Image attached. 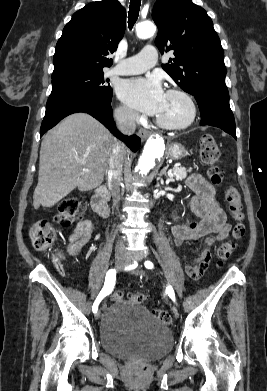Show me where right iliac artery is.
<instances>
[{
  "instance_id": "right-iliac-artery-1",
  "label": "right iliac artery",
  "mask_w": 267,
  "mask_h": 391,
  "mask_svg": "<svg viewBox=\"0 0 267 391\" xmlns=\"http://www.w3.org/2000/svg\"><path fill=\"white\" fill-rule=\"evenodd\" d=\"M137 266V264L135 263L134 265L130 266L129 269H133ZM115 280H116V271L111 269L107 272L106 274V278H105V283H104V287L103 289L101 290V292L99 293L98 297L96 298L94 304H93V307H92V311L94 313L97 312V309H98V305L99 303L102 301V299L110 294L113 290V287L115 285Z\"/></svg>"
}]
</instances>
